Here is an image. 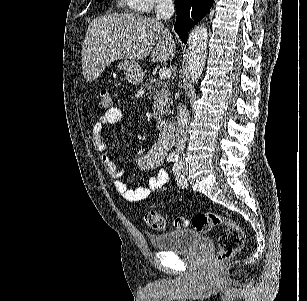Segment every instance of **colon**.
<instances>
[{
    "instance_id": "5ec220e1",
    "label": "colon",
    "mask_w": 307,
    "mask_h": 301,
    "mask_svg": "<svg viewBox=\"0 0 307 301\" xmlns=\"http://www.w3.org/2000/svg\"><path fill=\"white\" fill-rule=\"evenodd\" d=\"M112 107V100L106 90H101L98 94L96 108L100 112H106ZM145 223L154 230H163L166 227V220L159 212L148 210L144 214ZM191 225L198 232H209L219 226H224V230L218 237V253L216 264H222L244 246L245 232L241 225L230 218L219 215L215 212L207 211L195 214L190 220L177 218L175 226L181 228Z\"/></svg>"
}]
</instances>
